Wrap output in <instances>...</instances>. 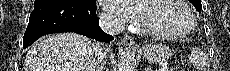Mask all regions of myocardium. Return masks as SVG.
I'll return each instance as SVG.
<instances>
[{
    "mask_svg": "<svg viewBox=\"0 0 230 71\" xmlns=\"http://www.w3.org/2000/svg\"><path fill=\"white\" fill-rule=\"evenodd\" d=\"M174 1L177 2L186 11L189 17V25L184 31L179 33L159 32L150 28L146 23L141 24L140 29L146 34H148L149 36L161 40H179L189 36L197 26L196 15L186 1L183 0H174Z\"/></svg>",
    "mask_w": 230,
    "mask_h": 71,
    "instance_id": "myocardium-1",
    "label": "myocardium"
}]
</instances>
